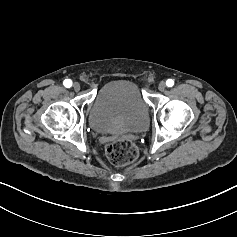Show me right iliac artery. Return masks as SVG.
Here are the masks:
<instances>
[{
	"label": "right iliac artery",
	"mask_w": 237,
	"mask_h": 237,
	"mask_svg": "<svg viewBox=\"0 0 237 237\" xmlns=\"http://www.w3.org/2000/svg\"><path fill=\"white\" fill-rule=\"evenodd\" d=\"M63 85L66 88H70L72 86V81L70 79H65L64 82H63Z\"/></svg>",
	"instance_id": "82829eb1"
}]
</instances>
